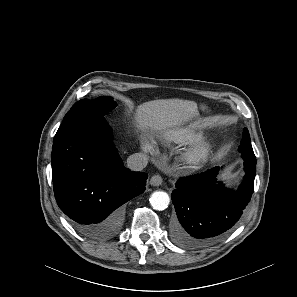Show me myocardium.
<instances>
[{
  "label": "myocardium",
  "mask_w": 297,
  "mask_h": 297,
  "mask_svg": "<svg viewBox=\"0 0 297 297\" xmlns=\"http://www.w3.org/2000/svg\"><path fill=\"white\" fill-rule=\"evenodd\" d=\"M212 148L206 142L198 143L195 147L188 150L183 161L187 168L195 169L205 163L211 154Z\"/></svg>",
  "instance_id": "myocardium-1"
}]
</instances>
